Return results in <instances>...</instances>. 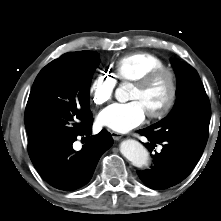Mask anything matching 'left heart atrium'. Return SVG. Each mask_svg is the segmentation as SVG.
<instances>
[{
	"mask_svg": "<svg viewBox=\"0 0 221 221\" xmlns=\"http://www.w3.org/2000/svg\"><path fill=\"white\" fill-rule=\"evenodd\" d=\"M146 111L142 103L133 100L127 103H115L103 109L97 122L100 126L118 132H127L143 123Z\"/></svg>",
	"mask_w": 221,
	"mask_h": 221,
	"instance_id": "39dd6f15",
	"label": "left heart atrium"
}]
</instances>
